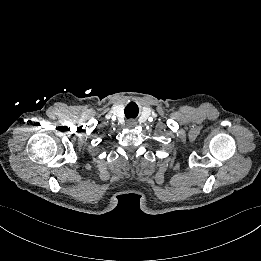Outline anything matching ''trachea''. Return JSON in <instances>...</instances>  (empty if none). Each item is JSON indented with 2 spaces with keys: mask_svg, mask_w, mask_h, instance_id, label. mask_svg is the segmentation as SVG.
Returning a JSON list of instances; mask_svg holds the SVG:
<instances>
[{
  "mask_svg": "<svg viewBox=\"0 0 261 261\" xmlns=\"http://www.w3.org/2000/svg\"><path fill=\"white\" fill-rule=\"evenodd\" d=\"M136 112V105L134 103H130L127 105L126 109H125V114L127 118H135Z\"/></svg>",
  "mask_w": 261,
  "mask_h": 261,
  "instance_id": "trachea-1",
  "label": "trachea"
}]
</instances>
